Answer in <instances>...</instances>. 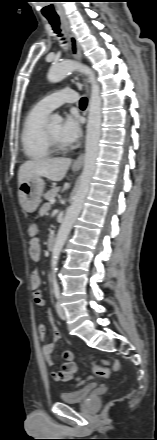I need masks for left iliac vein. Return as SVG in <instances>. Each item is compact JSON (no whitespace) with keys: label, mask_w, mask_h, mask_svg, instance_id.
Wrapping results in <instances>:
<instances>
[{"label":"left iliac vein","mask_w":157,"mask_h":440,"mask_svg":"<svg viewBox=\"0 0 157 440\" xmlns=\"http://www.w3.org/2000/svg\"><path fill=\"white\" fill-rule=\"evenodd\" d=\"M56 311H57V314L59 315V317H60L62 320H66V313H65V310H64V308L62 307L60 301H58V302L56 303Z\"/></svg>","instance_id":"left-iliac-vein-1"}]
</instances>
